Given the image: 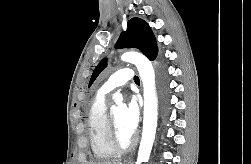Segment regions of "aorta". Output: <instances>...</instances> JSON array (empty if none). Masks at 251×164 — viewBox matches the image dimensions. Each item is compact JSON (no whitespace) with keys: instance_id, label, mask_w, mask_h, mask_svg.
<instances>
[{"instance_id":"1","label":"aorta","mask_w":251,"mask_h":164,"mask_svg":"<svg viewBox=\"0 0 251 164\" xmlns=\"http://www.w3.org/2000/svg\"><path fill=\"white\" fill-rule=\"evenodd\" d=\"M121 60L136 65L139 76L143 83V131L136 162V164H142L143 162H147L149 160L157 127L158 112L155 88V72L152 63L141 53L126 52L122 54ZM113 99L117 103L121 102L122 95L120 93H115Z\"/></svg>"}]
</instances>
